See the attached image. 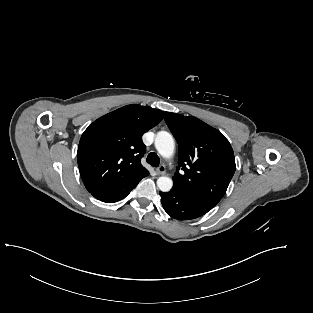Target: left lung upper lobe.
<instances>
[{
    "mask_svg": "<svg viewBox=\"0 0 313 313\" xmlns=\"http://www.w3.org/2000/svg\"><path fill=\"white\" fill-rule=\"evenodd\" d=\"M164 114L179 145V165L173 176V188L216 205L226 193L236 169L229 141L220 131L196 117Z\"/></svg>",
    "mask_w": 313,
    "mask_h": 313,
    "instance_id": "obj_1",
    "label": "left lung upper lobe"
}]
</instances>
